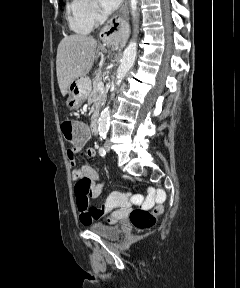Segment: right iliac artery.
<instances>
[{"label": "right iliac artery", "instance_id": "right-iliac-artery-1", "mask_svg": "<svg viewBox=\"0 0 240 288\" xmlns=\"http://www.w3.org/2000/svg\"><path fill=\"white\" fill-rule=\"evenodd\" d=\"M99 154H100V156L105 157V155H106V150H105L104 147H100V149H99Z\"/></svg>", "mask_w": 240, "mask_h": 288}]
</instances>
